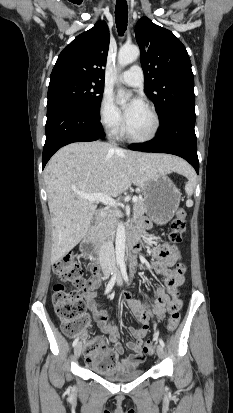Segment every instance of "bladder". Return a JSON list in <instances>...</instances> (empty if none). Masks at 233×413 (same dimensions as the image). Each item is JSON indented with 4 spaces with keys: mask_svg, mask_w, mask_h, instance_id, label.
Listing matches in <instances>:
<instances>
[{
    "mask_svg": "<svg viewBox=\"0 0 233 413\" xmlns=\"http://www.w3.org/2000/svg\"><path fill=\"white\" fill-rule=\"evenodd\" d=\"M144 371L142 369H131L125 371H119L113 374H101V376L113 382H123V381H130L142 376Z\"/></svg>",
    "mask_w": 233,
    "mask_h": 413,
    "instance_id": "1",
    "label": "bladder"
}]
</instances>
